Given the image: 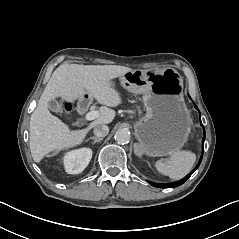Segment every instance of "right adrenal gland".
Listing matches in <instances>:
<instances>
[{
  "label": "right adrenal gland",
  "mask_w": 239,
  "mask_h": 239,
  "mask_svg": "<svg viewBox=\"0 0 239 239\" xmlns=\"http://www.w3.org/2000/svg\"><path fill=\"white\" fill-rule=\"evenodd\" d=\"M90 139H93V140H94L93 143L100 142V141L103 140V138H99V137H91Z\"/></svg>",
  "instance_id": "right-adrenal-gland-1"
}]
</instances>
